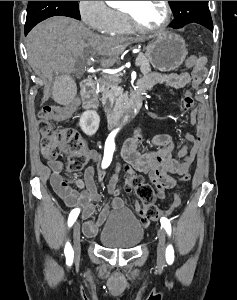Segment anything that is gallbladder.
<instances>
[{"instance_id":"gallbladder-1","label":"gallbladder","mask_w":237,"mask_h":300,"mask_svg":"<svg viewBox=\"0 0 237 300\" xmlns=\"http://www.w3.org/2000/svg\"><path fill=\"white\" fill-rule=\"evenodd\" d=\"M76 91L73 76H57L55 87H53L51 91V96L56 105H71Z\"/></svg>"}]
</instances>
